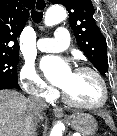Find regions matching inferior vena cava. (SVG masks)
<instances>
[{
  "instance_id": "602c4592",
  "label": "inferior vena cava",
  "mask_w": 117,
  "mask_h": 136,
  "mask_svg": "<svg viewBox=\"0 0 117 136\" xmlns=\"http://www.w3.org/2000/svg\"><path fill=\"white\" fill-rule=\"evenodd\" d=\"M30 102L32 103L34 109L31 110L30 113V124L28 125V136H37V122H38V114L40 111L47 109V104L46 102L38 97V96H33L30 98Z\"/></svg>"
}]
</instances>
